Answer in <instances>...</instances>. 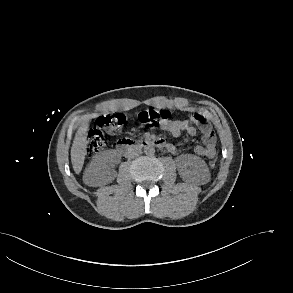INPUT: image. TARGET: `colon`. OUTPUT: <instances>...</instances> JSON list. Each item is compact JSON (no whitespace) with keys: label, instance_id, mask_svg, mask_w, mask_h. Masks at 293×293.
<instances>
[{"label":"colon","instance_id":"obj_1","mask_svg":"<svg viewBox=\"0 0 293 293\" xmlns=\"http://www.w3.org/2000/svg\"><path fill=\"white\" fill-rule=\"evenodd\" d=\"M171 116L170 111L166 109H147L141 111L137 115V121L147 128H157L169 121ZM192 117L195 120L199 116L194 114ZM124 122V116L120 113L107 114L99 117L90 130L86 145V151L89 156H95L101 152L105 147V135L107 133H114L120 129ZM210 168L216 166V160L209 164Z\"/></svg>","mask_w":293,"mask_h":293}]
</instances>
